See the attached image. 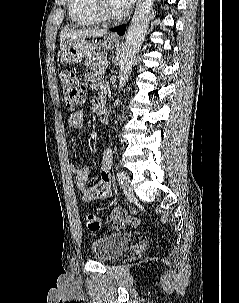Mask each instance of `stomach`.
<instances>
[{
	"mask_svg": "<svg viewBox=\"0 0 239 303\" xmlns=\"http://www.w3.org/2000/svg\"><path fill=\"white\" fill-rule=\"evenodd\" d=\"M117 39L113 37H104L99 42H89L84 38L65 43L60 51L61 61L66 64L80 62L83 58L89 57L95 50H108L117 45Z\"/></svg>",
	"mask_w": 239,
	"mask_h": 303,
	"instance_id": "0dacf381",
	"label": "stomach"
}]
</instances>
